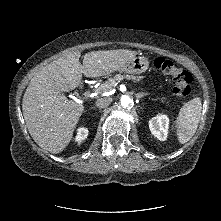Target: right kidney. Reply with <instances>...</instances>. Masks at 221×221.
Masks as SVG:
<instances>
[{
    "label": "right kidney",
    "mask_w": 221,
    "mask_h": 221,
    "mask_svg": "<svg viewBox=\"0 0 221 221\" xmlns=\"http://www.w3.org/2000/svg\"><path fill=\"white\" fill-rule=\"evenodd\" d=\"M87 136H88V129L81 127L77 131V135L75 137V141L80 143L82 140L86 139Z\"/></svg>",
    "instance_id": "ca27d5eb"
}]
</instances>
